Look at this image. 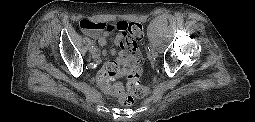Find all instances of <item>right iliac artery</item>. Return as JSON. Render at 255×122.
<instances>
[{
  "instance_id": "right-iliac-artery-1",
  "label": "right iliac artery",
  "mask_w": 255,
  "mask_h": 122,
  "mask_svg": "<svg viewBox=\"0 0 255 122\" xmlns=\"http://www.w3.org/2000/svg\"><path fill=\"white\" fill-rule=\"evenodd\" d=\"M93 49H95V45H92V46L90 47V51H92Z\"/></svg>"
}]
</instances>
